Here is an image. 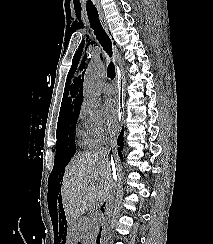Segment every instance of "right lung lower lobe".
<instances>
[{"label": "right lung lower lobe", "instance_id": "right-lung-lower-lobe-1", "mask_svg": "<svg viewBox=\"0 0 213 244\" xmlns=\"http://www.w3.org/2000/svg\"><path fill=\"white\" fill-rule=\"evenodd\" d=\"M123 134H124V128H122V131L120 132V135L118 136V141H117V144L119 146L118 153H119L120 157L122 156L121 149H123Z\"/></svg>", "mask_w": 213, "mask_h": 244}]
</instances>
